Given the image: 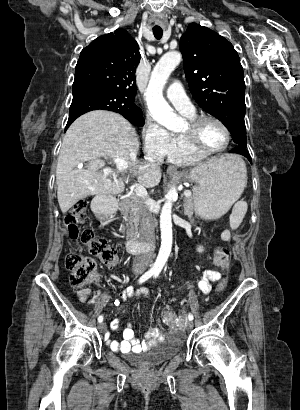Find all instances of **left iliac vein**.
<instances>
[{"label":"left iliac vein","mask_w":300,"mask_h":410,"mask_svg":"<svg viewBox=\"0 0 300 410\" xmlns=\"http://www.w3.org/2000/svg\"><path fill=\"white\" fill-rule=\"evenodd\" d=\"M185 325L188 329H192L193 327V322L191 320H186Z\"/></svg>","instance_id":"obj_1"}]
</instances>
